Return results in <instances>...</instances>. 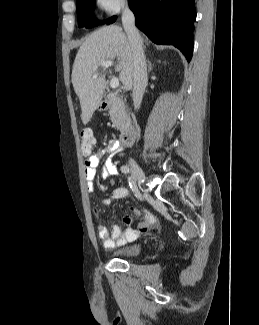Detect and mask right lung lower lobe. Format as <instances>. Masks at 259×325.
I'll list each match as a JSON object with an SVG mask.
<instances>
[{"instance_id": "right-lung-lower-lobe-1", "label": "right lung lower lobe", "mask_w": 259, "mask_h": 325, "mask_svg": "<svg viewBox=\"0 0 259 325\" xmlns=\"http://www.w3.org/2000/svg\"><path fill=\"white\" fill-rule=\"evenodd\" d=\"M136 26L156 44L177 47L190 61L193 51L194 0H128Z\"/></svg>"}]
</instances>
